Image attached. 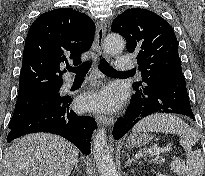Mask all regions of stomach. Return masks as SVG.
<instances>
[{
	"mask_svg": "<svg viewBox=\"0 0 205 176\" xmlns=\"http://www.w3.org/2000/svg\"><path fill=\"white\" fill-rule=\"evenodd\" d=\"M153 139L152 136L147 134L146 132L143 133H133L126 141V147L128 148H135L140 147L149 143Z\"/></svg>",
	"mask_w": 205,
	"mask_h": 176,
	"instance_id": "0dacf381",
	"label": "stomach"
}]
</instances>
